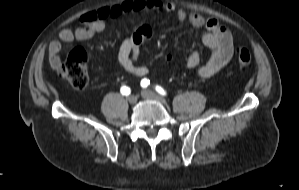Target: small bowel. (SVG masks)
I'll use <instances>...</instances> for the list:
<instances>
[{
  "label": "small bowel",
  "instance_id": "obj_1",
  "mask_svg": "<svg viewBox=\"0 0 299 190\" xmlns=\"http://www.w3.org/2000/svg\"><path fill=\"white\" fill-rule=\"evenodd\" d=\"M160 10L171 13L176 12L179 21L188 20L195 28L205 27L207 32L202 35V43L210 50V57L205 64L199 67V75L202 78H210L228 64L233 56L234 43L231 32L213 18H205L200 14H189L183 9H177L169 2L162 4L158 0H128L121 4L90 10L80 17L82 26L77 28H66L60 31L58 40L49 45V60L53 68L60 65L59 52L62 50L63 42L73 40H88L102 32L106 27V21L118 18L127 13H139L148 11L157 13ZM152 36L149 25H141L133 34L125 37L118 51V61L125 71L137 77L146 76L149 69L145 65L137 64L141 46ZM201 56L198 51H193L185 62L186 69L197 68Z\"/></svg>",
  "mask_w": 299,
  "mask_h": 190
}]
</instances>
